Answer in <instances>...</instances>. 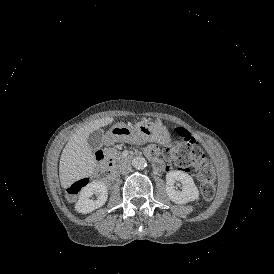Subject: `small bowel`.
Instances as JSON below:
<instances>
[{
    "mask_svg": "<svg viewBox=\"0 0 274 274\" xmlns=\"http://www.w3.org/2000/svg\"><path fill=\"white\" fill-rule=\"evenodd\" d=\"M147 154L151 160L155 159L157 155V149L154 146H149L147 149Z\"/></svg>",
    "mask_w": 274,
    "mask_h": 274,
    "instance_id": "small-bowel-1",
    "label": "small bowel"
}]
</instances>
